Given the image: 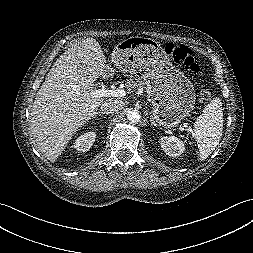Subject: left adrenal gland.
Masks as SVG:
<instances>
[{"mask_svg":"<svg viewBox=\"0 0 253 253\" xmlns=\"http://www.w3.org/2000/svg\"><path fill=\"white\" fill-rule=\"evenodd\" d=\"M150 122H151V124L154 125L155 127L158 126V125L155 123L153 116L150 117Z\"/></svg>","mask_w":253,"mask_h":253,"instance_id":"1","label":"left adrenal gland"}]
</instances>
